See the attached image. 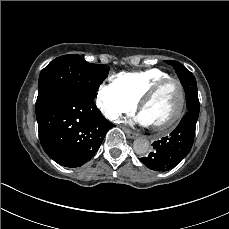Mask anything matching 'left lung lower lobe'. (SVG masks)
Here are the masks:
<instances>
[{"label": "left lung lower lobe", "instance_id": "1", "mask_svg": "<svg viewBox=\"0 0 229 229\" xmlns=\"http://www.w3.org/2000/svg\"><path fill=\"white\" fill-rule=\"evenodd\" d=\"M187 113L169 136L155 141L154 151L141 162L154 171H166L174 168L191 150L199 115V99L196 80L192 85H184Z\"/></svg>", "mask_w": 229, "mask_h": 229}]
</instances>
